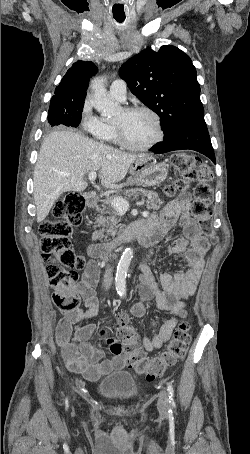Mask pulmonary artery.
<instances>
[{
    "instance_id": "1",
    "label": "pulmonary artery",
    "mask_w": 250,
    "mask_h": 454,
    "mask_svg": "<svg viewBox=\"0 0 250 454\" xmlns=\"http://www.w3.org/2000/svg\"><path fill=\"white\" fill-rule=\"evenodd\" d=\"M109 93L114 99L124 101L127 93L125 82L122 79L114 80L110 85Z\"/></svg>"
}]
</instances>
